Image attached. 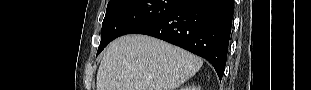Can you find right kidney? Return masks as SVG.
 I'll use <instances>...</instances> for the list:
<instances>
[{"label":"right kidney","mask_w":311,"mask_h":90,"mask_svg":"<svg viewBox=\"0 0 311 90\" xmlns=\"http://www.w3.org/2000/svg\"><path fill=\"white\" fill-rule=\"evenodd\" d=\"M181 90H198V88H196V87H191V86H189V87H186V88H181Z\"/></svg>","instance_id":"ca27d5eb"}]
</instances>
